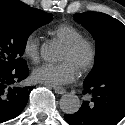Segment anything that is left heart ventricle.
<instances>
[{
    "mask_svg": "<svg viewBox=\"0 0 125 125\" xmlns=\"http://www.w3.org/2000/svg\"><path fill=\"white\" fill-rule=\"evenodd\" d=\"M87 55V50L84 48L80 49L76 53H71L64 47L61 54V60H68L75 66L76 69H79L85 62Z\"/></svg>",
    "mask_w": 125,
    "mask_h": 125,
    "instance_id": "obj_1",
    "label": "left heart ventricle"
}]
</instances>
